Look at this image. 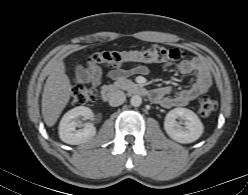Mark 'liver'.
Returning a JSON list of instances; mask_svg holds the SVG:
<instances>
[{"instance_id": "1", "label": "liver", "mask_w": 248, "mask_h": 195, "mask_svg": "<svg viewBox=\"0 0 248 195\" xmlns=\"http://www.w3.org/2000/svg\"><path fill=\"white\" fill-rule=\"evenodd\" d=\"M72 86L65 73V64L62 60L56 61L51 66V72L44 85L42 94V115L48 127L57 122L63 109L68 104Z\"/></svg>"}]
</instances>
